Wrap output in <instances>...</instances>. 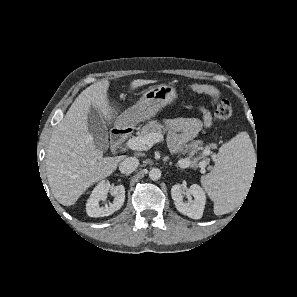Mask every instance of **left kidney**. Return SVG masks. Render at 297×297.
I'll use <instances>...</instances> for the list:
<instances>
[{"instance_id":"1","label":"left kidney","mask_w":297,"mask_h":297,"mask_svg":"<svg viewBox=\"0 0 297 297\" xmlns=\"http://www.w3.org/2000/svg\"><path fill=\"white\" fill-rule=\"evenodd\" d=\"M188 192L194 197L192 202L183 201L184 188L180 184L172 186L171 196L175 207L183 215L192 219H200L205 208L206 194L198 184L191 185Z\"/></svg>"}]
</instances>
